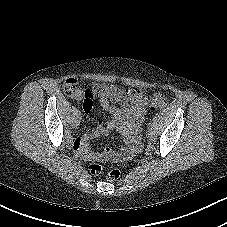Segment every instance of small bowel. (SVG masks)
Wrapping results in <instances>:
<instances>
[{
  "instance_id": "c3829d8e",
  "label": "small bowel",
  "mask_w": 227,
  "mask_h": 227,
  "mask_svg": "<svg viewBox=\"0 0 227 227\" xmlns=\"http://www.w3.org/2000/svg\"><path fill=\"white\" fill-rule=\"evenodd\" d=\"M77 102L83 103V109L89 113L92 109V101L87 102L85 92L80 91L74 96ZM101 107L112 116V120L105 126L101 122L87 131L82 137L71 140L72 147L81 153L87 160L102 159L119 161L134 156L139 150L141 126L145 118L144 101L133 96L123 107H118L106 97L100 98ZM109 131L120 133L127 143L125 148L112 151L109 148L102 153L90 150L92 139L100 135H106Z\"/></svg>"
}]
</instances>
